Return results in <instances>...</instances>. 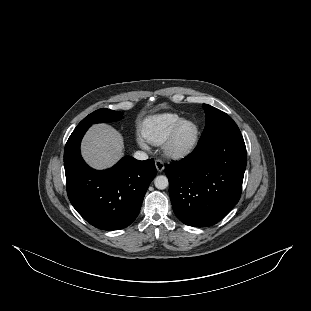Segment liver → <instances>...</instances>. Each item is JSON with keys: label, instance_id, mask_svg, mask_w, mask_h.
Here are the masks:
<instances>
[{"label": "liver", "instance_id": "6515ba94", "mask_svg": "<svg viewBox=\"0 0 311 311\" xmlns=\"http://www.w3.org/2000/svg\"><path fill=\"white\" fill-rule=\"evenodd\" d=\"M123 149V136L107 124L93 125L81 145L82 156L95 169L113 166L123 157Z\"/></svg>", "mask_w": 311, "mask_h": 311}]
</instances>
